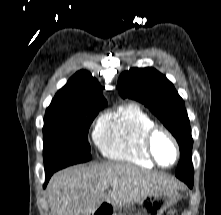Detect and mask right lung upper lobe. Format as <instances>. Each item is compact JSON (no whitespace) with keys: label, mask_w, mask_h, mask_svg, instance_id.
Segmentation results:
<instances>
[{"label":"right lung upper lobe","mask_w":221,"mask_h":215,"mask_svg":"<svg viewBox=\"0 0 221 215\" xmlns=\"http://www.w3.org/2000/svg\"><path fill=\"white\" fill-rule=\"evenodd\" d=\"M106 102L101 93V86L92 75L85 71H78L61 88L53 98L50 106H64L73 104H102Z\"/></svg>","instance_id":"obj_1"}]
</instances>
